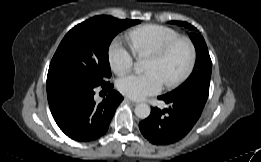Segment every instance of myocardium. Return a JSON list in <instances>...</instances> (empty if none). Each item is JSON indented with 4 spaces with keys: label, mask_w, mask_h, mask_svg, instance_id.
<instances>
[{
    "label": "myocardium",
    "mask_w": 261,
    "mask_h": 162,
    "mask_svg": "<svg viewBox=\"0 0 261 162\" xmlns=\"http://www.w3.org/2000/svg\"><path fill=\"white\" fill-rule=\"evenodd\" d=\"M181 44L186 45V47L188 49V52H189L188 62H187L185 69L178 76H176L175 78H173L169 82L165 83V86L169 89L179 86L192 73L194 66H195V63H196V58H197L196 48H195L193 42L187 37H178V38L166 43L162 47H160L156 50H153L152 52L149 53V56H153V57H156L158 59H164L177 46H179Z\"/></svg>",
    "instance_id": "f54148a6"
}]
</instances>
